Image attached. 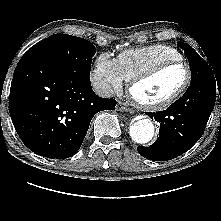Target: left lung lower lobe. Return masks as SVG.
<instances>
[{"mask_svg":"<svg viewBox=\"0 0 221 221\" xmlns=\"http://www.w3.org/2000/svg\"><path fill=\"white\" fill-rule=\"evenodd\" d=\"M218 90L221 97V80L209 78L189 86L166 110L146 113L160 123L159 137L149 147L139 146L138 152L153 161H166L188 151L204 133Z\"/></svg>","mask_w":221,"mask_h":221,"instance_id":"obj_1","label":"left lung lower lobe"}]
</instances>
